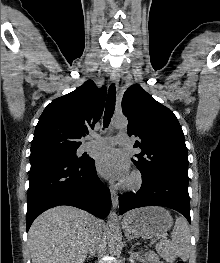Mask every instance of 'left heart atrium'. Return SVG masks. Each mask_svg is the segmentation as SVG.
<instances>
[{"instance_id":"left-heart-atrium-1","label":"left heart atrium","mask_w":220,"mask_h":263,"mask_svg":"<svg viewBox=\"0 0 220 263\" xmlns=\"http://www.w3.org/2000/svg\"><path fill=\"white\" fill-rule=\"evenodd\" d=\"M95 164L98 172L107 179L123 181L129 173L127 158L115 149L101 151Z\"/></svg>"}]
</instances>
